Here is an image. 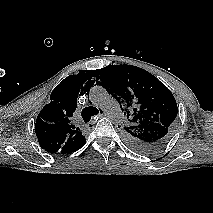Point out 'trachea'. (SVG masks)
Returning a JSON list of instances; mask_svg holds the SVG:
<instances>
[{
    "label": "trachea",
    "instance_id": "3493384b",
    "mask_svg": "<svg viewBox=\"0 0 213 213\" xmlns=\"http://www.w3.org/2000/svg\"><path fill=\"white\" fill-rule=\"evenodd\" d=\"M102 112L101 110H98L97 108L95 107H85L83 110H82V118L84 120L85 123L89 122L91 120V117L94 116V115H97L98 113Z\"/></svg>",
    "mask_w": 213,
    "mask_h": 213
}]
</instances>
